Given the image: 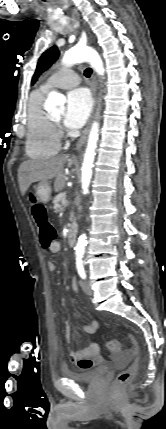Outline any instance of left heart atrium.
Here are the masks:
<instances>
[{
  "label": "left heart atrium",
  "mask_w": 166,
  "mask_h": 429,
  "mask_svg": "<svg viewBox=\"0 0 166 429\" xmlns=\"http://www.w3.org/2000/svg\"><path fill=\"white\" fill-rule=\"evenodd\" d=\"M92 108V98L86 88L78 87L67 94L64 124L69 129H77L86 122Z\"/></svg>",
  "instance_id": "1"
}]
</instances>
